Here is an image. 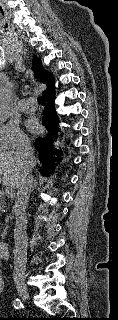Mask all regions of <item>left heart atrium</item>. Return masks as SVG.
I'll return each mask as SVG.
<instances>
[{
  "label": "left heart atrium",
  "instance_id": "obj_1",
  "mask_svg": "<svg viewBox=\"0 0 118 320\" xmlns=\"http://www.w3.org/2000/svg\"><path fill=\"white\" fill-rule=\"evenodd\" d=\"M26 125L31 132H37L41 128L40 123L34 117L29 118Z\"/></svg>",
  "mask_w": 118,
  "mask_h": 320
}]
</instances>
